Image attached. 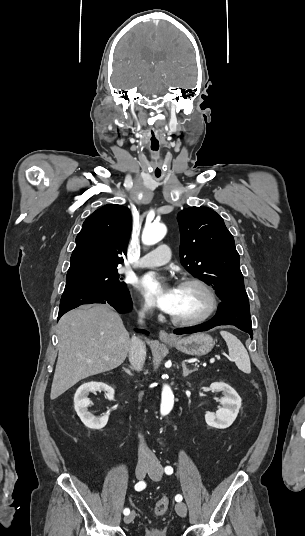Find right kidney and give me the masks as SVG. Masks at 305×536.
Instances as JSON below:
<instances>
[{
  "label": "right kidney",
  "mask_w": 305,
  "mask_h": 536,
  "mask_svg": "<svg viewBox=\"0 0 305 536\" xmlns=\"http://www.w3.org/2000/svg\"><path fill=\"white\" fill-rule=\"evenodd\" d=\"M97 390L107 392L106 396L108 400H114L113 388H110L107 384H103V382H87V384H82L74 396V408L80 420H82L87 428H92V430H101V428H104L109 418V414L102 416V418H96V416H93L87 410L89 404H91L87 396L89 392H97Z\"/></svg>",
  "instance_id": "1"
}]
</instances>
